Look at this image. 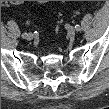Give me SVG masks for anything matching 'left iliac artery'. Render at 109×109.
Returning a JSON list of instances; mask_svg holds the SVG:
<instances>
[{"label": "left iliac artery", "mask_w": 109, "mask_h": 109, "mask_svg": "<svg viewBox=\"0 0 109 109\" xmlns=\"http://www.w3.org/2000/svg\"><path fill=\"white\" fill-rule=\"evenodd\" d=\"M75 29H76L77 31H80V30H81V27H80L79 25H75Z\"/></svg>", "instance_id": "obj_1"}]
</instances>
